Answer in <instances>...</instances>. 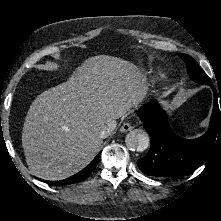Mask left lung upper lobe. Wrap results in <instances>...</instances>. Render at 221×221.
Segmentation results:
<instances>
[{
    "label": "left lung upper lobe",
    "mask_w": 221,
    "mask_h": 221,
    "mask_svg": "<svg viewBox=\"0 0 221 221\" xmlns=\"http://www.w3.org/2000/svg\"><path fill=\"white\" fill-rule=\"evenodd\" d=\"M178 55L185 62L188 74L193 81L202 84L212 83L211 79L204 73V71L191 56L183 53H179Z\"/></svg>",
    "instance_id": "1"
}]
</instances>
